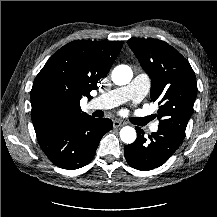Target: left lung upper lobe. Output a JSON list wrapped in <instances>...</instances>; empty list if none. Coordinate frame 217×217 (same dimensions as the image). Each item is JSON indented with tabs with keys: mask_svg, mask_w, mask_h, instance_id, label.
I'll list each match as a JSON object with an SVG mask.
<instances>
[{
	"mask_svg": "<svg viewBox=\"0 0 217 217\" xmlns=\"http://www.w3.org/2000/svg\"><path fill=\"white\" fill-rule=\"evenodd\" d=\"M127 43L151 78L150 97L160 105L159 125L184 135L197 95L189 62L161 40L136 38Z\"/></svg>",
	"mask_w": 217,
	"mask_h": 217,
	"instance_id": "1",
	"label": "left lung upper lobe"
}]
</instances>
